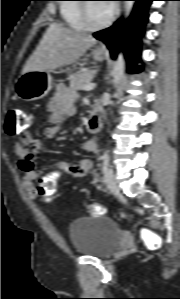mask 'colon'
I'll list each match as a JSON object with an SVG mask.
<instances>
[{"instance_id":"5ec220e1","label":"colon","mask_w":180,"mask_h":299,"mask_svg":"<svg viewBox=\"0 0 180 299\" xmlns=\"http://www.w3.org/2000/svg\"><path fill=\"white\" fill-rule=\"evenodd\" d=\"M32 122V115L20 108L11 109L8 112L7 120L5 123V130L9 135H18L26 130ZM38 194L46 201H50L56 192L54 183H38ZM90 214L94 216L103 215L105 207L100 203L91 204L88 207ZM141 235L146 245L150 249H158L161 246L162 238L159 234L143 228Z\"/></svg>"}]
</instances>
